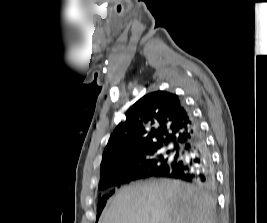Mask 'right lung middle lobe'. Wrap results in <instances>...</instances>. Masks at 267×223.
Listing matches in <instances>:
<instances>
[{
	"mask_svg": "<svg viewBox=\"0 0 267 223\" xmlns=\"http://www.w3.org/2000/svg\"><path fill=\"white\" fill-rule=\"evenodd\" d=\"M179 151L172 148L166 151L159 150L154 152L148 156L141 158L138 162V171L133 176L137 177V179L152 177L153 175L159 173L160 171L167 169L171 165H173L178 158ZM115 175H110L100 180L99 187L102 188L107 180L113 179ZM108 197L104 196L98 200V209L97 214L98 217L106 204V200Z\"/></svg>",
	"mask_w": 267,
	"mask_h": 223,
	"instance_id": "right-lung-middle-lobe-1",
	"label": "right lung middle lobe"
}]
</instances>
